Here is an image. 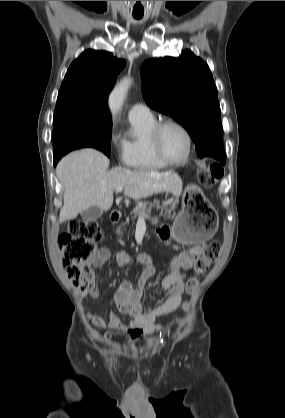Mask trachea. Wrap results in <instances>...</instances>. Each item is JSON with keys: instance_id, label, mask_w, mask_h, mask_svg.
Returning <instances> with one entry per match:
<instances>
[{"instance_id": "1", "label": "trachea", "mask_w": 285, "mask_h": 418, "mask_svg": "<svg viewBox=\"0 0 285 418\" xmlns=\"http://www.w3.org/2000/svg\"><path fill=\"white\" fill-rule=\"evenodd\" d=\"M135 18H136V19H140V18H141V16H135Z\"/></svg>"}]
</instances>
